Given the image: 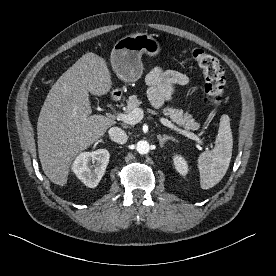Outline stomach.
<instances>
[{"mask_svg":"<svg viewBox=\"0 0 276 276\" xmlns=\"http://www.w3.org/2000/svg\"><path fill=\"white\" fill-rule=\"evenodd\" d=\"M156 57L160 43L147 33H136L118 40L111 51L110 62L117 77L124 82L137 81L143 72L142 54Z\"/></svg>","mask_w":276,"mask_h":276,"instance_id":"obj_1","label":"stomach"}]
</instances>
